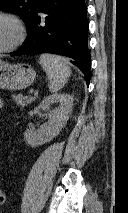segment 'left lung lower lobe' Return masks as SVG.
Returning <instances> with one entry per match:
<instances>
[{"label": "left lung lower lobe", "instance_id": "0a47b994", "mask_svg": "<svg viewBox=\"0 0 128 213\" xmlns=\"http://www.w3.org/2000/svg\"><path fill=\"white\" fill-rule=\"evenodd\" d=\"M87 7L84 0H39L23 45L11 56L54 53L73 62L90 79ZM43 13V15H41Z\"/></svg>", "mask_w": 128, "mask_h": 213}]
</instances>
